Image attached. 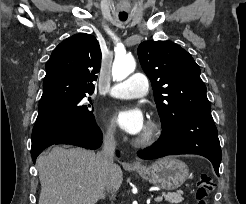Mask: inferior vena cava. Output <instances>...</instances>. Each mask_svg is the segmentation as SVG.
I'll list each match as a JSON object with an SVG mask.
<instances>
[{
	"mask_svg": "<svg viewBox=\"0 0 246 204\" xmlns=\"http://www.w3.org/2000/svg\"><path fill=\"white\" fill-rule=\"evenodd\" d=\"M116 141L114 138L113 130H109L103 137L102 149L98 152L97 156L102 165V170L104 173V177L106 179L107 187L109 191H112L110 185V176L115 169L114 164V155H115ZM110 199L115 198V193H111Z\"/></svg>",
	"mask_w": 246,
	"mask_h": 204,
	"instance_id": "602c4592",
	"label": "inferior vena cava"
}]
</instances>
